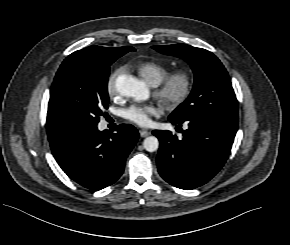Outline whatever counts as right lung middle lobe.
Here are the masks:
<instances>
[{
  "label": "right lung middle lobe",
  "instance_id": "obj_1",
  "mask_svg": "<svg viewBox=\"0 0 290 245\" xmlns=\"http://www.w3.org/2000/svg\"><path fill=\"white\" fill-rule=\"evenodd\" d=\"M124 54L100 57L76 51L69 55L54 78L49 106L73 129L97 125L108 108L110 65Z\"/></svg>",
  "mask_w": 290,
  "mask_h": 245
}]
</instances>
